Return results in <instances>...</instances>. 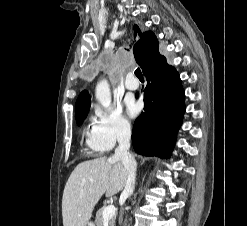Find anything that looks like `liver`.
<instances>
[{"mask_svg":"<svg viewBox=\"0 0 247 226\" xmlns=\"http://www.w3.org/2000/svg\"><path fill=\"white\" fill-rule=\"evenodd\" d=\"M127 178V169L113 157H100L78 164L63 192V225L86 226L100 198L104 194L111 197L122 191Z\"/></svg>","mask_w":247,"mask_h":226,"instance_id":"liver-1","label":"liver"}]
</instances>
